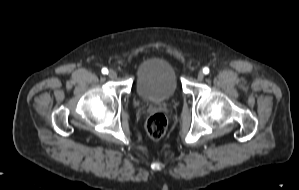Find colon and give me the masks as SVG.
<instances>
[{"instance_id": "5ec220e1", "label": "colon", "mask_w": 299, "mask_h": 190, "mask_svg": "<svg viewBox=\"0 0 299 190\" xmlns=\"http://www.w3.org/2000/svg\"><path fill=\"white\" fill-rule=\"evenodd\" d=\"M167 130V119L162 113L152 114L146 122V131L153 139H159L164 136Z\"/></svg>"}]
</instances>
